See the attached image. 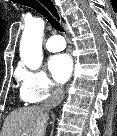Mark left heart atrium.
<instances>
[{
	"label": "left heart atrium",
	"mask_w": 117,
	"mask_h": 136,
	"mask_svg": "<svg viewBox=\"0 0 117 136\" xmlns=\"http://www.w3.org/2000/svg\"><path fill=\"white\" fill-rule=\"evenodd\" d=\"M49 68L54 79L58 83H64L68 80L72 72V60L68 54H58L49 61Z\"/></svg>",
	"instance_id": "left-heart-atrium-1"
}]
</instances>
